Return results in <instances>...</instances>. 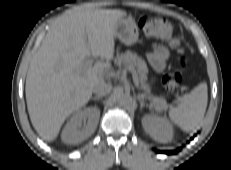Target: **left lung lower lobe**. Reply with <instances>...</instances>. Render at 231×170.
I'll return each mask as SVG.
<instances>
[{"mask_svg":"<svg viewBox=\"0 0 231 170\" xmlns=\"http://www.w3.org/2000/svg\"><path fill=\"white\" fill-rule=\"evenodd\" d=\"M180 150H181V148H178L177 150H174V151H159V152L166 153V154H175V153H177Z\"/></svg>","mask_w":231,"mask_h":170,"instance_id":"obj_1","label":"left lung lower lobe"}]
</instances>
